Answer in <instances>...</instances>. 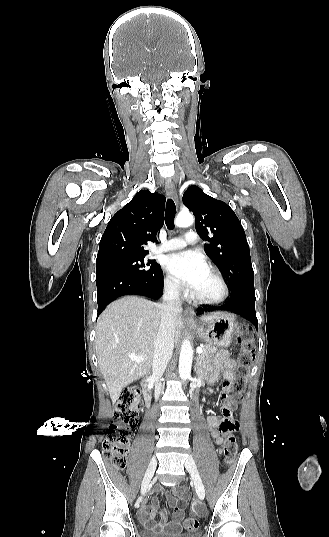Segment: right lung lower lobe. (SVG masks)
<instances>
[{
    "mask_svg": "<svg viewBox=\"0 0 329 537\" xmlns=\"http://www.w3.org/2000/svg\"><path fill=\"white\" fill-rule=\"evenodd\" d=\"M96 285L99 316L108 303L124 295H142L158 300L163 291V272L160 269L152 277H142L117 271H100L96 273Z\"/></svg>",
    "mask_w": 329,
    "mask_h": 537,
    "instance_id": "98d812e1",
    "label": "right lung lower lobe"
}]
</instances>
